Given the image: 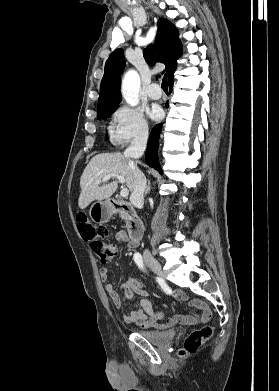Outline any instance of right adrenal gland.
<instances>
[{
	"instance_id": "1",
	"label": "right adrenal gland",
	"mask_w": 279,
	"mask_h": 391,
	"mask_svg": "<svg viewBox=\"0 0 279 391\" xmlns=\"http://www.w3.org/2000/svg\"><path fill=\"white\" fill-rule=\"evenodd\" d=\"M150 190H151L150 180L148 179L147 180L146 190H145V196L150 192Z\"/></svg>"
}]
</instances>
